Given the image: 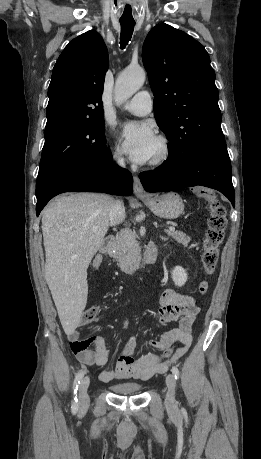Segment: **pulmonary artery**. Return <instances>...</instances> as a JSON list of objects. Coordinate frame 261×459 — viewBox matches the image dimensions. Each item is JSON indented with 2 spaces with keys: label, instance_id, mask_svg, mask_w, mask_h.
<instances>
[{
  "label": "pulmonary artery",
  "instance_id": "pulmonary-artery-1",
  "mask_svg": "<svg viewBox=\"0 0 261 459\" xmlns=\"http://www.w3.org/2000/svg\"><path fill=\"white\" fill-rule=\"evenodd\" d=\"M123 109L138 116H144L152 110V98L148 91H140L124 104Z\"/></svg>",
  "mask_w": 261,
  "mask_h": 459
}]
</instances>
